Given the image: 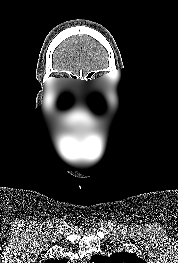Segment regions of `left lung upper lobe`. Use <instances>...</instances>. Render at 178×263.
Returning a JSON list of instances; mask_svg holds the SVG:
<instances>
[{
	"mask_svg": "<svg viewBox=\"0 0 178 263\" xmlns=\"http://www.w3.org/2000/svg\"><path fill=\"white\" fill-rule=\"evenodd\" d=\"M93 263H146L134 253L117 252L110 257L93 255L91 257Z\"/></svg>",
	"mask_w": 178,
	"mask_h": 263,
	"instance_id": "obj_1",
	"label": "left lung upper lobe"
}]
</instances>
